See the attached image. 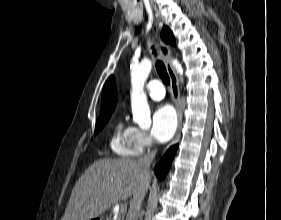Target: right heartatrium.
Here are the masks:
<instances>
[{
	"mask_svg": "<svg viewBox=\"0 0 281 220\" xmlns=\"http://www.w3.org/2000/svg\"><path fill=\"white\" fill-rule=\"evenodd\" d=\"M134 140H135V144L140 152L149 150L154 145L152 138L143 129L134 128Z\"/></svg>",
	"mask_w": 281,
	"mask_h": 220,
	"instance_id": "1",
	"label": "right heart atrium"
}]
</instances>
